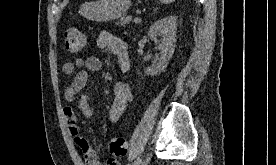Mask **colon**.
<instances>
[{"label":"colon","mask_w":276,"mask_h":165,"mask_svg":"<svg viewBox=\"0 0 276 165\" xmlns=\"http://www.w3.org/2000/svg\"><path fill=\"white\" fill-rule=\"evenodd\" d=\"M65 46L68 52L77 53L86 46V37L81 30L75 27L65 31ZM109 150L114 156H124L127 153V142L123 137H114L109 143Z\"/></svg>","instance_id":"1"}]
</instances>
